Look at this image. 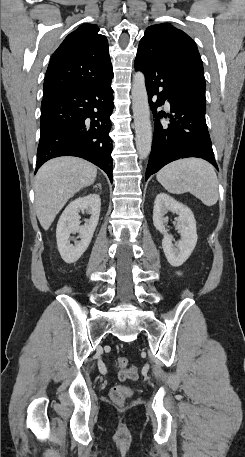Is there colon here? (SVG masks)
Wrapping results in <instances>:
<instances>
[{
	"mask_svg": "<svg viewBox=\"0 0 245 457\" xmlns=\"http://www.w3.org/2000/svg\"><path fill=\"white\" fill-rule=\"evenodd\" d=\"M116 366L119 369L118 377L120 380H132L137 377V369L128 366V360L125 357H119L116 360ZM131 395V389L117 385L110 390V398L116 404H123L128 396Z\"/></svg>",
	"mask_w": 245,
	"mask_h": 457,
	"instance_id": "5ec220e1",
	"label": "colon"
}]
</instances>
